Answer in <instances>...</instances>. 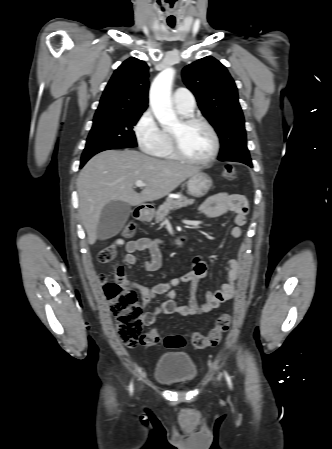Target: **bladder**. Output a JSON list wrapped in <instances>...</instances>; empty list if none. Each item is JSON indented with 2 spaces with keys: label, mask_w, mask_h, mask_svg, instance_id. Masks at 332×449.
Segmentation results:
<instances>
[{
  "label": "bladder",
  "mask_w": 332,
  "mask_h": 449,
  "mask_svg": "<svg viewBox=\"0 0 332 449\" xmlns=\"http://www.w3.org/2000/svg\"><path fill=\"white\" fill-rule=\"evenodd\" d=\"M198 374L196 362L187 352H167L159 356L154 378L165 385L191 383Z\"/></svg>",
  "instance_id": "bladder-1"
}]
</instances>
